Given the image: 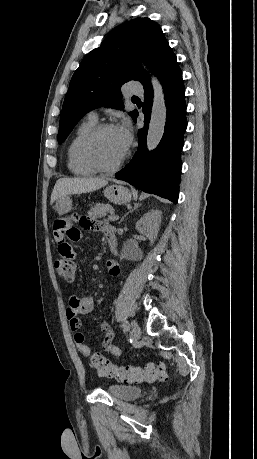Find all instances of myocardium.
<instances>
[{
    "label": "myocardium",
    "instance_id": "obj_1",
    "mask_svg": "<svg viewBox=\"0 0 257 459\" xmlns=\"http://www.w3.org/2000/svg\"><path fill=\"white\" fill-rule=\"evenodd\" d=\"M115 128L114 124L112 123H100L96 124L84 137L81 146H80V156L82 161L89 166L90 168L94 169L98 172H105L110 173L114 172L121 167L124 163L125 159L127 158V152H125L122 157L112 165L106 166L100 163L94 154V144L97 138L100 136L102 132L108 129Z\"/></svg>",
    "mask_w": 257,
    "mask_h": 459
}]
</instances>
